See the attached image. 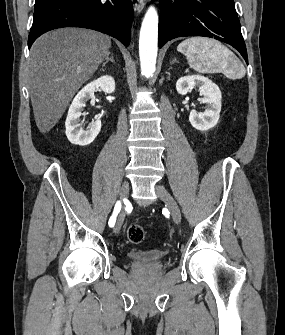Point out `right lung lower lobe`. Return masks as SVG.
I'll return each mask as SVG.
<instances>
[{"label":"right lung lower lobe","mask_w":285,"mask_h":335,"mask_svg":"<svg viewBox=\"0 0 285 335\" xmlns=\"http://www.w3.org/2000/svg\"><path fill=\"white\" fill-rule=\"evenodd\" d=\"M131 0H36L28 47L42 34L57 28L94 29L130 44Z\"/></svg>","instance_id":"right-lung-lower-lobe-1"}]
</instances>
